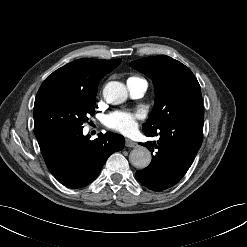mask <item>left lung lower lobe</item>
<instances>
[{"label":"left lung lower lobe","instance_id":"obj_1","mask_svg":"<svg viewBox=\"0 0 247 247\" xmlns=\"http://www.w3.org/2000/svg\"><path fill=\"white\" fill-rule=\"evenodd\" d=\"M144 133L158 140L140 143L154 155L148 167L136 172V177L153 191L170 188L185 175L201 147L203 121L179 119Z\"/></svg>","mask_w":247,"mask_h":247}]
</instances>
